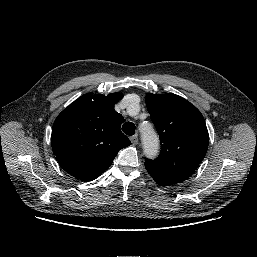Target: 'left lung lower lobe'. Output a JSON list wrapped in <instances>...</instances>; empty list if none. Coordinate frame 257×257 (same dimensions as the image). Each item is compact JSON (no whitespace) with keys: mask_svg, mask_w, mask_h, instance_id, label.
<instances>
[{"mask_svg":"<svg viewBox=\"0 0 257 257\" xmlns=\"http://www.w3.org/2000/svg\"><path fill=\"white\" fill-rule=\"evenodd\" d=\"M145 167L147 171L150 173V175L152 176V178L155 180V182L162 186L181 183L185 180V178L180 175L167 174V173L158 171L157 169L149 165H145Z\"/></svg>","mask_w":257,"mask_h":257,"instance_id":"1","label":"left lung lower lobe"}]
</instances>
